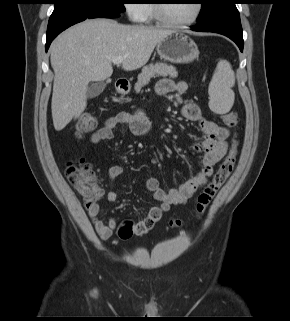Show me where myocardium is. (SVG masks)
<instances>
[{
  "label": "myocardium",
  "mask_w": 290,
  "mask_h": 321,
  "mask_svg": "<svg viewBox=\"0 0 290 321\" xmlns=\"http://www.w3.org/2000/svg\"><path fill=\"white\" fill-rule=\"evenodd\" d=\"M165 1L166 0H154V3H152L155 18L163 26L185 27V26L192 25L193 23H195L198 20L200 14L202 12V3L199 0H197L195 12L190 19L185 20V21H173V20H170L169 18H167L164 13Z\"/></svg>",
  "instance_id": "f54148a6"
}]
</instances>
